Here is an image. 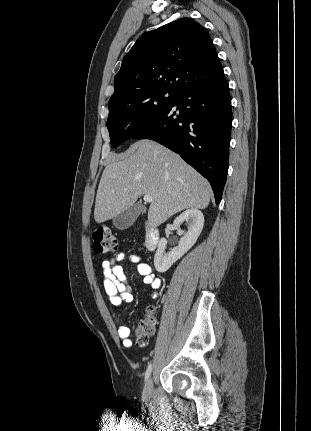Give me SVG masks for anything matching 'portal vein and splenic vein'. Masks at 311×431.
<instances>
[{
  "label": "portal vein and splenic vein",
  "instance_id": "obj_1",
  "mask_svg": "<svg viewBox=\"0 0 311 431\" xmlns=\"http://www.w3.org/2000/svg\"><path fill=\"white\" fill-rule=\"evenodd\" d=\"M144 202H153L152 196H143Z\"/></svg>",
  "mask_w": 311,
  "mask_h": 431
}]
</instances>
